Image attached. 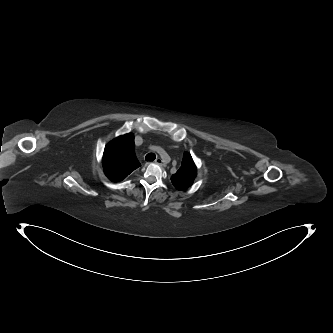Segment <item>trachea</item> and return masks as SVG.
Returning a JSON list of instances; mask_svg holds the SVG:
<instances>
[{"label":"trachea","mask_w":333,"mask_h":333,"mask_svg":"<svg viewBox=\"0 0 333 333\" xmlns=\"http://www.w3.org/2000/svg\"><path fill=\"white\" fill-rule=\"evenodd\" d=\"M156 158V155L154 153H148L146 156H145V160L146 161H154Z\"/></svg>","instance_id":"1"}]
</instances>
